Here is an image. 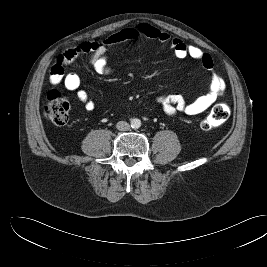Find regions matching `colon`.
<instances>
[{
	"label": "colon",
	"mask_w": 267,
	"mask_h": 267,
	"mask_svg": "<svg viewBox=\"0 0 267 267\" xmlns=\"http://www.w3.org/2000/svg\"><path fill=\"white\" fill-rule=\"evenodd\" d=\"M45 117L56 126H63L69 119V104L58 90H51L47 95L44 107ZM230 108L225 103L216 104L206 118L202 121L203 130H211L221 126L227 121Z\"/></svg>",
	"instance_id": "1"
}]
</instances>
